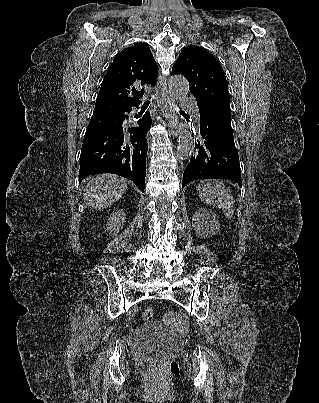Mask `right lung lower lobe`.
<instances>
[{"mask_svg": "<svg viewBox=\"0 0 319 403\" xmlns=\"http://www.w3.org/2000/svg\"><path fill=\"white\" fill-rule=\"evenodd\" d=\"M131 110L93 114L81 149V180L89 175L112 173L132 180L144 192L148 150L145 136L151 118L147 112L135 127L126 129L122 126L128 117L124 113Z\"/></svg>", "mask_w": 319, "mask_h": 403, "instance_id": "98d812e1", "label": "right lung lower lobe"}]
</instances>
